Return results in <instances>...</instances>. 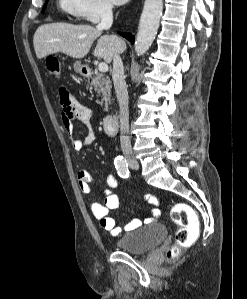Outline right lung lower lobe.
Returning <instances> with one entry per match:
<instances>
[{"label": "right lung lower lobe", "mask_w": 247, "mask_h": 299, "mask_svg": "<svg viewBox=\"0 0 247 299\" xmlns=\"http://www.w3.org/2000/svg\"><path fill=\"white\" fill-rule=\"evenodd\" d=\"M119 34L121 36H123L124 38H126L127 40H129L131 43H134L135 38L130 33H121V32H119Z\"/></svg>", "instance_id": "obj_1"}]
</instances>
